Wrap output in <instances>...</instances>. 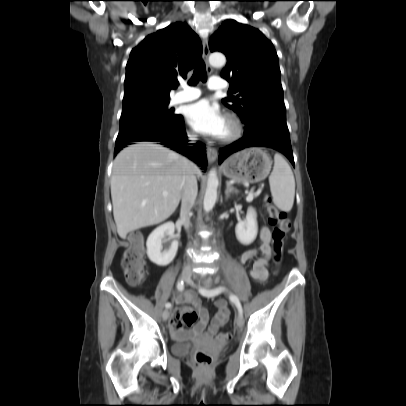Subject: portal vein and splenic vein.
Masks as SVG:
<instances>
[{"instance_id": "obj_1", "label": "portal vein and splenic vein", "mask_w": 406, "mask_h": 406, "mask_svg": "<svg viewBox=\"0 0 406 406\" xmlns=\"http://www.w3.org/2000/svg\"><path fill=\"white\" fill-rule=\"evenodd\" d=\"M164 196H167L168 193L166 191L163 192ZM254 198V193H253V189L251 190V192L249 193L248 197L246 198L248 201H252Z\"/></svg>"}]
</instances>
